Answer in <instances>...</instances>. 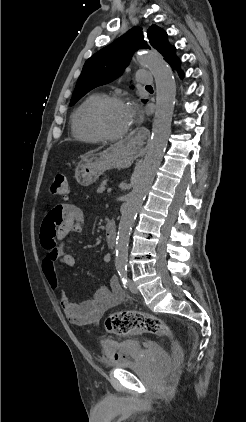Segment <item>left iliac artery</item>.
<instances>
[{
	"label": "left iliac artery",
	"mask_w": 246,
	"mask_h": 422,
	"mask_svg": "<svg viewBox=\"0 0 246 422\" xmlns=\"http://www.w3.org/2000/svg\"><path fill=\"white\" fill-rule=\"evenodd\" d=\"M119 276L121 278L122 284L124 288H127V270L126 269H120L118 271Z\"/></svg>",
	"instance_id": "44dca946"
}]
</instances>
